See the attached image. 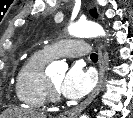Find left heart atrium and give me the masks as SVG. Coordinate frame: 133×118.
Instances as JSON below:
<instances>
[{
	"label": "left heart atrium",
	"instance_id": "obj_1",
	"mask_svg": "<svg viewBox=\"0 0 133 118\" xmlns=\"http://www.w3.org/2000/svg\"><path fill=\"white\" fill-rule=\"evenodd\" d=\"M95 85V75L81 64H74L64 76L59 90L68 99H80Z\"/></svg>",
	"mask_w": 133,
	"mask_h": 118
}]
</instances>
